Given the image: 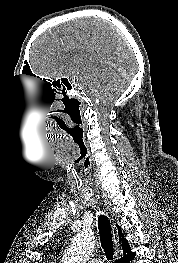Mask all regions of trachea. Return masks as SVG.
Returning a JSON list of instances; mask_svg holds the SVG:
<instances>
[{"label": "trachea", "instance_id": "trachea-1", "mask_svg": "<svg viewBox=\"0 0 178 263\" xmlns=\"http://www.w3.org/2000/svg\"><path fill=\"white\" fill-rule=\"evenodd\" d=\"M85 168H87V166H85ZM98 228L100 233L101 245L105 252V256L107 260L112 261L114 255V245L110 222L105 215H99Z\"/></svg>", "mask_w": 178, "mask_h": 263}]
</instances>
